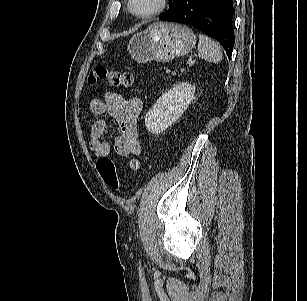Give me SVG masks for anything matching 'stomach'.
<instances>
[{
	"mask_svg": "<svg viewBox=\"0 0 307 301\" xmlns=\"http://www.w3.org/2000/svg\"><path fill=\"white\" fill-rule=\"evenodd\" d=\"M196 44L193 31L180 24L158 22L135 34L128 51L136 62H167L189 53Z\"/></svg>",
	"mask_w": 307,
	"mask_h": 301,
	"instance_id": "1",
	"label": "stomach"
}]
</instances>
